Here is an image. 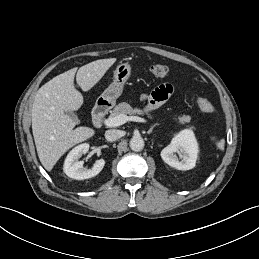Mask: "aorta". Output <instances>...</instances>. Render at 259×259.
I'll use <instances>...</instances> for the list:
<instances>
[{
    "label": "aorta",
    "mask_w": 259,
    "mask_h": 259,
    "mask_svg": "<svg viewBox=\"0 0 259 259\" xmlns=\"http://www.w3.org/2000/svg\"><path fill=\"white\" fill-rule=\"evenodd\" d=\"M130 148L133 151H141L144 148V140L141 136H134L130 140Z\"/></svg>",
    "instance_id": "aorta-1"
}]
</instances>
